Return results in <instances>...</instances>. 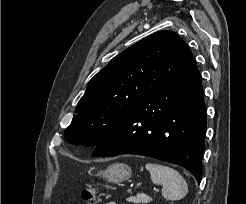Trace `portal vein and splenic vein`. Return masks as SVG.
Masks as SVG:
<instances>
[{"label":"portal vein and splenic vein","instance_id":"1","mask_svg":"<svg viewBox=\"0 0 246 204\" xmlns=\"http://www.w3.org/2000/svg\"><path fill=\"white\" fill-rule=\"evenodd\" d=\"M155 191H158V189L154 188Z\"/></svg>","mask_w":246,"mask_h":204}]
</instances>
